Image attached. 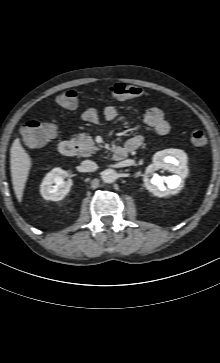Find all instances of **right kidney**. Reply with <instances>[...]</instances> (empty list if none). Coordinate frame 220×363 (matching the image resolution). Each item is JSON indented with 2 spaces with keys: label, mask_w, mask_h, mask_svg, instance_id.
Instances as JSON below:
<instances>
[{
  "label": "right kidney",
  "mask_w": 220,
  "mask_h": 363,
  "mask_svg": "<svg viewBox=\"0 0 220 363\" xmlns=\"http://www.w3.org/2000/svg\"><path fill=\"white\" fill-rule=\"evenodd\" d=\"M71 186L72 180L68 173L61 168H54L43 179L40 192L46 200L59 201L67 195Z\"/></svg>",
  "instance_id": "obj_1"
}]
</instances>
